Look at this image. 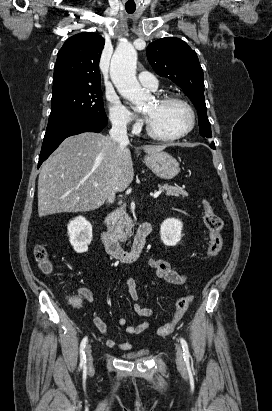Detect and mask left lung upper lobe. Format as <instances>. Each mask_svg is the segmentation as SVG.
<instances>
[{"label": "left lung upper lobe", "mask_w": 272, "mask_h": 411, "mask_svg": "<svg viewBox=\"0 0 272 411\" xmlns=\"http://www.w3.org/2000/svg\"><path fill=\"white\" fill-rule=\"evenodd\" d=\"M146 54L156 73L172 80L190 98L198 112L200 134L212 137L204 97L203 70L196 52L181 39L166 37L149 44Z\"/></svg>", "instance_id": "left-lung-upper-lobe-1"}]
</instances>
